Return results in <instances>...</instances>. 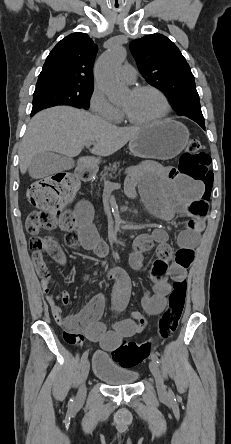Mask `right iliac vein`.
Wrapping results in <instances>:
<instances>
[{"instance_id": "1", "label": "right iliac vein", "mask_w": 231, "mask_h": 444, "mask_svg": "<svg viewBox=\"0 0 231 444\" xmlns=\"http://www.w3.org/2000/svg\"><path fill=\"white\" fill-rule=\"evenodd\" d=\"M89 370H90V363L89 361L86 359L83 363H82V369H81V385L76 397V401L77 403H83L85 400V396H86V388H85V382L88 378L89 375Z\"/></svg>"}]
</instances>
